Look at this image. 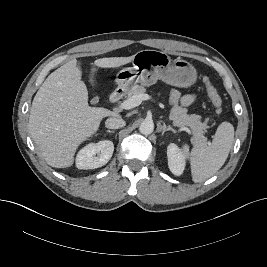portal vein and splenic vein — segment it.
I'll return each instance as SVG.
<instances>
[{"label":"portal vein and splenic vein","instance_id":"18ae733b","mask_svg":"<svg viewBox=\"0 0 267 267\" xmlns=\"http://www.w3.org/2000/svg\"><path fill=\"white\" fill-rule=\"evenodd\" d=\"M150 99V96L148 94H139L135 95L125 101H123L120 105L119 108L121 109H132L134 107H137L138 105L141 104L142 101Z\"/></svg>","mask_w":267,"mask_h":267}]
</instances>
